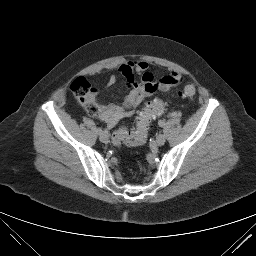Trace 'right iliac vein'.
<instances>
[{
	"label": "right iliac vein",
	"instance_id": "1",
	"mask_svg": "<svg viewBox=\"0 0 256 256\" xmlns=\"http://www.w3.org/2000/svg\"><path fill=\"white\" fill-rule=\"evenodd\" d=\"M99 139L103 143L108 142V139H109L108 134L106 132H102L101 134H99Z\"/></svg>",
	"mask_w": 256,
	"mask_h": 256
}]
</instances>
